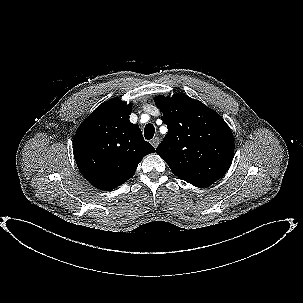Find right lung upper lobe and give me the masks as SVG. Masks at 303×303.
<instances>
[{"label": "right lung upper lobe", "mask_w": 303, "mask_h": 303, "mask_svg": "<svg viewBox=\"0 0 303 303\" xmlns=\"http://www.w3.org/2000/svg\"><path fill=\"white\" fill-rule=\"evenodd\" d=\"M131 105L120 99L101 104L80 125L73 139L79 171L94 187L113 190L130 179L142 158L155 152L137 124Z\"/></svg>", "instance_id": "1"}]
</instances>
